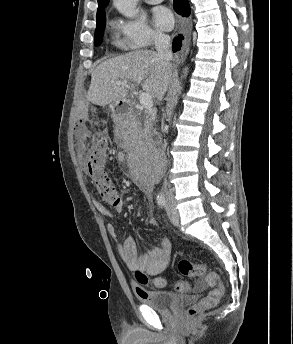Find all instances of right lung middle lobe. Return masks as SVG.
<instances>
[{"mask_svg": "<svg viewBox=\"0 0 293 344\" xmlns=\"http://www.w3.org/2000/svg\"><path fill=\"white\" fill-rule=\"evenodd\" d=\"M105 24H106V17H105V12L103 10L97 15V26H96L95 37H94V42L96 46L100 45L102 42Z\"/></svg>", "mask_w": 293, "mask_h": 344, "instance_id": "dd1d6c3e", "label": "right lung middle lobe"}]
</instances>
